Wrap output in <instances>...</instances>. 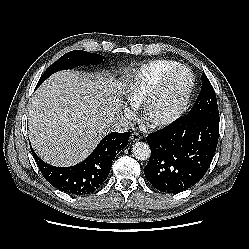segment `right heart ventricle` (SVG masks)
Instances as JSON below:
<instances>
[{"mask_svg":"<svg viewBox=\"0 0 249 249\" xmlns=\"http://www.w3.org/2000/svg\"><path fill=\"white\" fill-rule=\"evenodd\" d=\"M179 63L174 60H153L133 71L127 78L124 97L131 107H139L154 91L162 76Z\"/></svg>","mask_w":249,"mask_h":249,"instance_id":"right-heart-ventricle-1","label":"right heart ventricle"}]
</instances>
